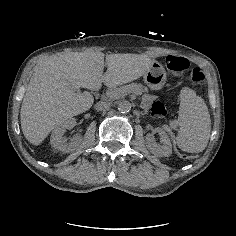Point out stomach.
I'll use <instances>...</instances> for the list:
<instances>
[{
	"label": "stomach",
	"mask_w": 236,
	"mask_h": 236,
	"mask_svg": "<svg viewBox=\"0 0 236 236\" xmlns=\"http://www.w3.org/2000/svg\"><path fill=\"white\" fill-rule=\"evenodd\" d=\"M166 79L164 68L157 64H154L144 75L145 84L153 90L161 89L164 86Z\"/></svg>",
	"instance_id": "1"
}]
</instances>
